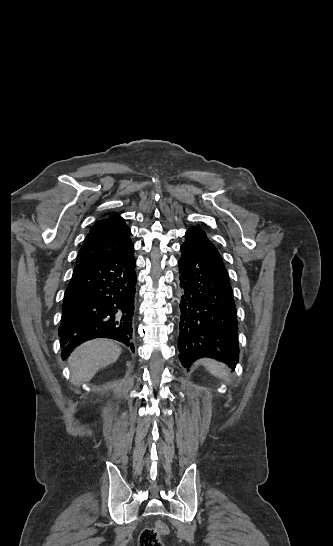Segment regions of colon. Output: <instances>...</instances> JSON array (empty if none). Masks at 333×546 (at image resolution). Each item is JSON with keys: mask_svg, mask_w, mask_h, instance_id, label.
I'll return each mask as SVG.
<instances>
[{"mask_svg": "<svg viewBox=\"0 0 333 546\" xmlns=\"http://www.w3.org/2000/svg\"><path fill=\"white\" fill-rule=\"evenodd\" d=\"M166 532V527L162 522H158L154 528L144 529L139 537L140 546H163L161 535Z\"/></svg>", "mask_w": 333, "mask_h": 546, "instance_id": "colon-1", "label": "colon"}]
</instances>
